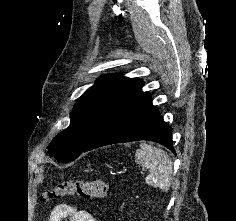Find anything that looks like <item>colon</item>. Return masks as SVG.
<instances>
[{"label": "colon", "mask_w": 236, "mask_h": 221, "mask_svg": "<svg viewBox=\"0 0 236 221\" xmlns=\"http://www.w3.org/2000/svg\"><path fill=\"white\" fill-rule=\"evenodd\" d=\"M109 187L104 181H85L81 179H65L42 194L44 201L61 199L69 196H79L83 199L105 198Z\"/></svg>", "instance_id": "colon-1"}]
</instances>
